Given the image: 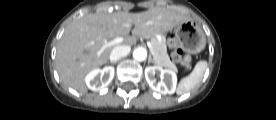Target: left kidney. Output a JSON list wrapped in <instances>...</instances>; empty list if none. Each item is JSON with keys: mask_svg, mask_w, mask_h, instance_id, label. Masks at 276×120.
Instances as JSON below:
<instances>
[{"mask_svg": "<svg viewBox=\"0 0 276 120\" xmlns=\"http://www.w3.org/2000/svg\"><path fill=\"white\" fill-rule=\"evenodd\" d=\"M155 75L161 79L157 81ZM145 78L150 88L161 94H172L175 91L177 76L175 72L163 69L160 66H148L145 68Z\"/></svg>", "mask_w": 276, "mask_h": 120, "instance_id": "obj_1", "label": "left kidney"}]
</instances>
